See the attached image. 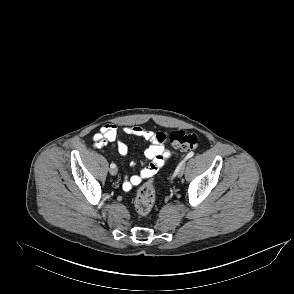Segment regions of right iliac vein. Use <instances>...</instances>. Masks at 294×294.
Returning <instances> with one entry per match:
<instances>
[{
  "mask_svg": "<svg viewBox=\"0 0 294 294\" xmlns=\"http://www.w3.org/2000/svg\"><path fill=\"white\" fill-rule=\"evenodd\" d=\"M109 172H110L111 175L115 176L117 174V172H118V169L116 167L110 168Z\"/></svg>",
  "mask_w": 294,
  "mask_h": 294,
  "instance_id": "obj_1",
  "label": "right iliac vein"
}]
</instances>
